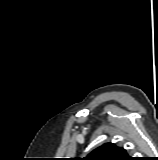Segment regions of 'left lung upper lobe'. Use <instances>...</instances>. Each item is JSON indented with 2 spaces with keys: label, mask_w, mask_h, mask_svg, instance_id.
<instances>
[{
  "label": "left lung upper lobe",
  "mask_w": 158,
  "mask_h": 160,
  "mask_svg": "<svg viewBox=\"0 0 158 160\" xmlns=\"http://www.w3.org/2000/svg\"><path fill=\"white\" fill-rule=\"evenodd\" d=\"M83 160H133L126 150L113 143H105L93 150Z\"/></svg>",
  "instance_id": "1"
}]
</instances>
